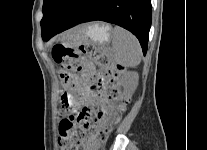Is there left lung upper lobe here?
I'll return each mask as SVG.
<instances>
[{"mask_svg":"<svg viewBox=\"0 0 207 150\" xmlns=\"http://www.w3.org/2000/svg\"><path fill=\"white\" fill-rule=\"evenodd\" d=\"M73 0H44L43 18L41 20L42 34L48 32L59 20Z\"/></svg>","mask_w":207,"mask_h":150,"instance_id":"5c2ea615","label":"left lung upper lobe"}]
</instances>
